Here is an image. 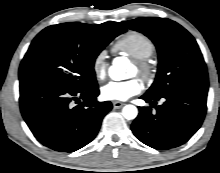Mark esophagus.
Returning <instances> with one entry per match:
<instances>
[{
	"instance_id": "34e87169",
	"label": "esophagus",
	"mask_w": 220,
	"mask_h": 173,
	"mask_svg": "<svg viewBox=\"0 0 220 173\" xmlns=\"http://www.w3.org/2000/svg\"><path fill=\"white\" fill-rule=\"evenodd\" d=\"M122 106H124V103H123V102H120V101H114V102H113V107H114L115 109H119V108H121Z\"/></svg>"
}]
</instances>
